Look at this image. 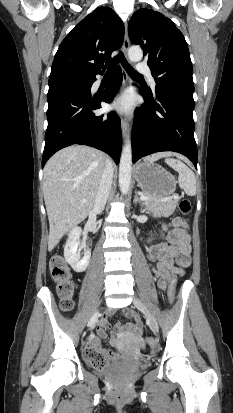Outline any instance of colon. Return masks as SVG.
<instances>
[{
	"mask_svg": "<svg viewBox=\"0 0 233 413\" xmlns=\"http://www.w3.org/2000/svg\"><path fill=\"white\" fill-rule=\"evenodd\" d=\"M179 212L182 215H187L191 211V203L188 199L180 200L178 204ZM50 274L54 282L56 283L57 293L61 300V308L64 311H69L73 307V295L75 293V283L72 280L70 270L66 265L64 259L61 256H55L50 261ZM176 283L175 280L169 284V297L172 301L175 299ZM147 343L150 347H154V341L147 339ZM88 361L96 366L103 368L107 355L105 353H96L89 356Z\"/></svg>",
	"mask_w": 233,
	"mask_h": 413,
	"instance_id": "obj_1",
	"label": "colon"
}]
</instances>
